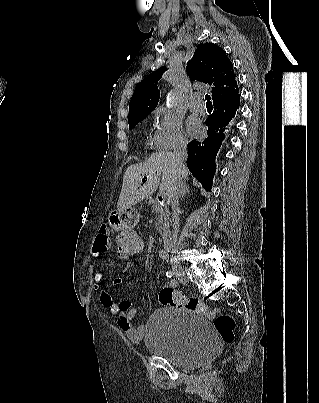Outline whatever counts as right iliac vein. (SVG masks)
Segmentation results:
<instances>
[{
  "instance_id": "obj_1",
  "label": "right iliac vein",
  "mask_w": 319,
  "mask_h": 403,
  "mask_svg": "<svg viewBox=\"0 0 319 403\" xmlns=\"http://www.w3.org/2000/svg\"><path fill=\"white\" fill-rule=\"evenodd\" d=\"M172 270L176 278L183 284H187L188 280L185 276L183 268L178 264H172Z\"/></svg>"
}]
</instances>
